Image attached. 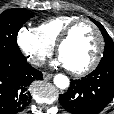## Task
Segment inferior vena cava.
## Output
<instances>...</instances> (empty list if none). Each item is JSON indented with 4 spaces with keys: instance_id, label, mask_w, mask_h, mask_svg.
<instances>
[{
    "instance_id": "1",
    "label": "inferior vena cava",
    "mask_w": 114,
    "mask_h": 114,
    "mask_svg": "<svg viewBox=\"0 0 114 114\" xmlns=\"http://www.w3.org/2000/svg\"><path fill=\"white\" fill-rule=\"evenodd\" d=\"M44 58L40 56H31L28 58V62L30 64L36 65V66H42L44 64Z\"/></svg>"
}]
</instances>
